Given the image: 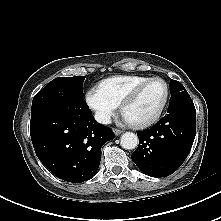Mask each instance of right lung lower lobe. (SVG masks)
<instances>
[{"label": "right lung lower lobe", "mask_w": 221, "mask_h": 221, "mask_svg": "<svg viewBox=\"0 0 221 221\" xmlns=\"http://www.w3.org/2000/svg\"><path fill=\"white\" fill-rule=\"evenodd\" d=\"M30 135L38 159L58 178L91 179L112 130L95 121L84 100L54 103L31 112Z\"/></svg>", "instance_id": "1"}]
</instances>
